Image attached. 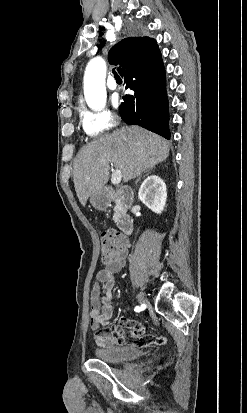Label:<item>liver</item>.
<instances>
[{
    "mask_svg": "<svg viewBox=\"0 0 247 413\" xmlns=\"http://www.w3.org/2000/svg\"><path fill=\"white\" fill-rule=\"evenodd\" d=\"M169 146V140L141 126H122L84 144L73 168L75 190L83 207L88 196L99 192L106 184L110 162L121 170L123 180L127 182L148 166L166 160Z\"/></svg>",
    "mask_w": 247,
    "mask_h": 413,
    "instance_id": "obj_1",
    "label": "liver"
}]
</instances>
